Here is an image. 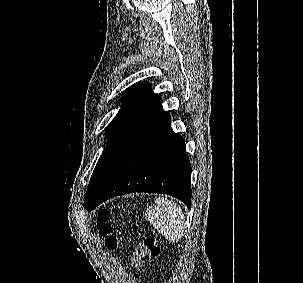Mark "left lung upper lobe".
Returning <instances> with one entry per match:
<instances>
[{"mask_svg": "<svg viewBox=\"0 0 303 283\" xmlns=\"http://www.w3.org/2000/svg\"><path fill=\"white\" fill-rule=\"evenodd\" d=\"M157 97L147 82H138L124 91L121 100L123 105L106 128L107 146L95 166L86 197L95 193L103 184L119 154Z\"/></svg>", "mask_w": 303, "mask_h": 283, "instance_id": "1", "label": "left lung upper lobe"}]
</instances>
